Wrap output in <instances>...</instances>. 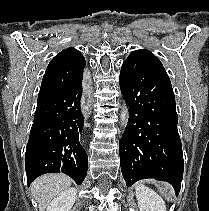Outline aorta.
Returning <instances> with one entry per match:
<instances>
[{"mask_svg": "<svg viewBox=\"0 0 209 211\" xmlns=\"http://www.w3.org/2000/svg\"><path fill=\"white\" fill-rule=\"evenodd\" d=\"M120 120H121V125L123 127H125L128 123V120H129V110H128L126 104H124L123 107H122Z\"/></svg>", "mask_w": 209, "mask_h": 211, "instance_id": "762f6f07", "label": "aorta"}]
</instances>
